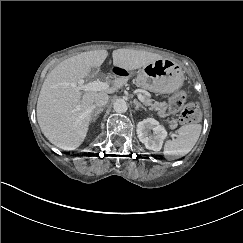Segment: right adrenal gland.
Returning a JSON list of instances; mask_svg holds the SVG:
<instances>
[{"mask_svg":"<svg viewBox=\"0 0 243 243\" xmlns=\"http://www.w3.org/2000/svg\"><path fill=\"white\" fill-rule=\"evenodd\" d=\"M104 108L102 107H96L95 109H93V111L91 112V119L90 121L95 122L96 119L98 118V115L103 112Z\"/></svg>","mask_w":243,"mask_h":243,"instance_id":"obj_1","label":"right adrenal gland"}]
</instances>
